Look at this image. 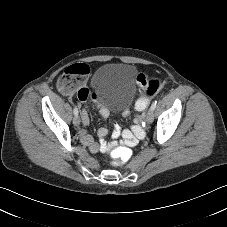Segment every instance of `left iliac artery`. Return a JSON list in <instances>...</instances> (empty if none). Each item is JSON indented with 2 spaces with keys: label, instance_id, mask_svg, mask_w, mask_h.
Wrapping results in <instances>:
<instances>
[{
  "label": "left iliac artery",
  "instance_id": "44dca946",
  "mask_svg": "<svg viewBox=\"0 0 227 227\" xmlns=\"http://www.w3.org/2000/svg\"><path fill=\"white\" fill-rule=\"evenodd\" d=\"M157 101L155 100L153 104L151 105V109L154 110L156 108Z\"/></svg>",
  "mask_w": 227,
  "mask_h": 227
}]
</instances>
